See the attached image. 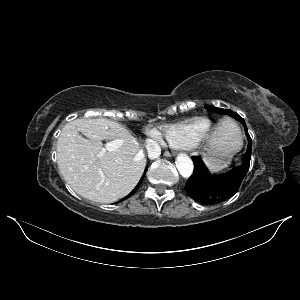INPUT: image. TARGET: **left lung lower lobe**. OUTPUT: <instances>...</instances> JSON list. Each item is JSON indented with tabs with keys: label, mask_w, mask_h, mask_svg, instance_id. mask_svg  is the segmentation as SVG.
Returning a JSON list of instances; mask_svg holds the SVG:
<instances>
[{
	"label": "left lung lower lobe",
	"mask_w": 300,
	"mask_h": 300,
	"mask_svg": "<svg viewBox=\"0 0 300 300\" xmlns=\"http://www.w3.org/2000/svg\"><path fill=\"white\" fill-rule=\"evenodd\" d=\"M248 148L243 157V164L223 175H211L199 157H193L194 172L185 184L187 194L198 203L214 205L232 197L239 189L245 177L251 158L252 142L246 124Z\"/></svg>",
	"instance_id": "obj_1"
}]
</instances>
